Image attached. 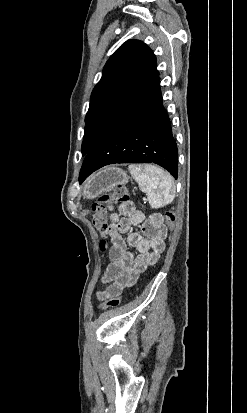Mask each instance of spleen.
I'll return each instance as SVG.
<instances>
[{"instance_id": "1", "label": "spleen", "mask_w": 247, "mask_h": 413, "mask_svg": "<svg viewBox=\"0 0 247 413\" xmlns=\"http://www.w3.org/2000/svg\"><path fill=\"white\" fill-rule=\"evenodd\" d=\"M128 168L141 190L147 192L152 209L165 207V204L174 200L175 184L169 172L159 166L145 168L143 164H129Z\"/></svg>"}]
</instances>
